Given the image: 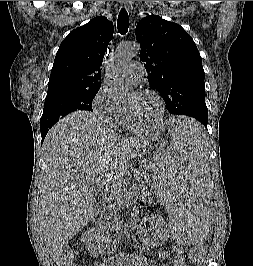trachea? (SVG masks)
Returning a JSON list of instances; mask_svg holds the SVG:
<instances>
[{
    "label": "trachea",
    "instance_id": "1",
    "mask_svg": "<svg viewBox=\"0 0 253 266\" xmlns=\"http://www.w3.org/2000/svg\"><path fill=\"white\" fill-rule=\"evenodd\" d=\"M117 28L120 34H126L129 28V16L127 11L122 8L118 15Z\"/></svg>",
    "mask_w": 253,
    "mask_h": 266
}]
</instances>
